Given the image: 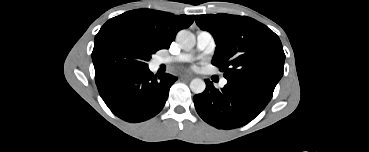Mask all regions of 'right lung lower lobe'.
I'll list each match as a JSON object with an SVG mask.
<instances>
[{
  "label": "right lung lower lobe",
  "mask_w": 369,
  "mask_h": 152,
  "mask_svg": "<svg viewBox=\"0 0 369 152\" xmlns=\"http://www.w3.org/2000/svg\"><path fill=\"white\" fill-rule=\"evenodd\" d=\"M177 80L170 74L159 77L146 68H128L96 79L100 96L109 109L128 122H141L158 114L169 89Z\"/></svg>",
  "instance_id": "right-lung-lower-lobe-1"
}]
</instances>
